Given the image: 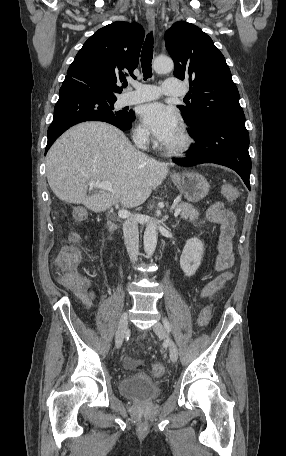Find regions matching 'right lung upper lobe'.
Instances as JSON below:
<instances>
[{
    "mask_svg": "<svg viewBox=\"0 0 286 456\" xmlns=\"http://www.w3.org/2000/svg\"><path fill=\"white\" fill-rule=\"evenodd\" d=\"M144 30L136 22L117 21L99 29L77 53L64 84H78L108 100L122 92L119 82L133 75Z\"/></svg>",
    "mask_w": 286,
    "mask_h": 456,
    "instance_id": "cb5924a9",
    "label": "right lung upper lobe"
}]
</instances>
